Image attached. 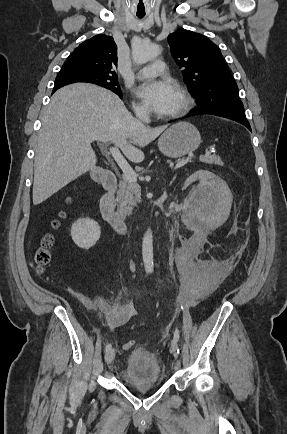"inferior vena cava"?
<instances>
[{
    "mask_svg": "<svg viewBox=\"0 0 287 434\" xmlns=\"http://www.w3.org/2000/svg\"><path fill=\"white\" fill-rule=\"evenodd\" d=\"M136 116L143 121L144 123H150V117H149V113L147 110L145 109H137L135 111Z\"/></svg>",
    "mask_w": 287,
    "mask_h": 434,
    "instance_id": "inferior-vena-cava-1",
    "label": "inferior vena cava"
}]
</instances>
